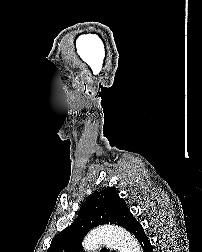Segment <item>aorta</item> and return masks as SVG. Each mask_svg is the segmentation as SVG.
I'll return each mask as SVG.
<instances>
[{
  "label": "aorta",
  "mask_w": 202,
  "mask_h": 252,
  "mask_svg": "<svg viewBox=\"0 0 202 252\" xmlns=\"http://www.w3.org/2000/svg\"><path fill=\"white\" fill-rule=\"evenodd\" d=\"M103 243L118 252H141L137 240L128 231L113 226L92 231L84 239L83 247L87 251H94Z\"/></svg>",
  "instance_id": "aorta-1"
}]
</instances>
